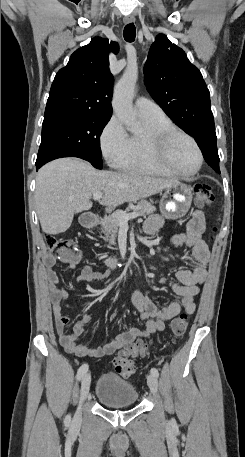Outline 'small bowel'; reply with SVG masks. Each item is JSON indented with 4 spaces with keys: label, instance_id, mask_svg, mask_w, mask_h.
<instances>
[{
    "label": "small bowel",
    "instance_id": "1",
    "mask_svg": "<svg viewBox=\"0 0 245 457\" xmlns=\"http://www.w3.org/2000/svg\"><path fill=\"white\" fill-rule=\"evenodd\" d=\"M163 226V219L158 214L151 215L144 224V231L148 235L157 232ZM206 221L204 212L196 210L186 225V231L176 233L172 237V244L176 247L186 245L192 248V254L199 263L193 270L177 268L175 270V282H169L160 278L161 284H168L172 291L180 298L179 301L170 302L158 307L149 297L147 291L136 289L131 301L140 314V319L145 323L144 328H129L117 335L114 339L106 342L103 346L90 348L85 344L77 343V339L84 333L90 322V316L83 314L75 323L73 333L67 332L70 319L61 312L62 303L69 296L68 291L61 285L60 279L53 269L57 261L73 269L76 266V259L56 258L52 255H45L43 258L45 274L50 291V301L54 314L55 327L59 341L63 348L71 354L79 357L99 358L112 355L123 346L134 342L137 339H147L165 329L166 322L173 321L181 311L186 314L194 313L196 309L194 298L199 293V285L207 277V265L209 261V249L202 235L205 231ZM110 276V271H94L90 266L81 268L78 280L81 282L102 281ZM117 312L112 314L115 319Z\"/></svg>",
    "mask_w": 245,
    "mask_h": 457
}]
</instances>
